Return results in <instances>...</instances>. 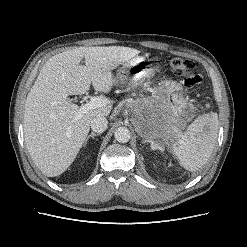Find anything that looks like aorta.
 Listing matches in <instances>:
<instances>
[{
	"instance_id": "aorta-1",
	"label": "aorta",
	"mask_w": 247,
	"mask_h": 247,
	"mask_svg": "<svg viewBox=\"0 0 247 247\" xmlns=\"http://www.w3.org/2000/svg\"><path fill=\"white\" fill-rule=\"evenodd\" d=\"M114 137L120 143H127L131 138V134L126 127H119L115 130Z\"/></svg>"
}]
</instances>
